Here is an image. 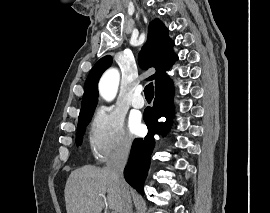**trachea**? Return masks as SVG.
I'll return each instance as SVG.
<instances>
[{
  "label": "trachea",
  "mask_w": 270,
  "mask_h": 213,
  "mask_svg": "<svg viewBox=\"0 0 270 213\" xmlns=\"http://www.w3.org/2000/svg\"><path fill=\"white\" fill-rule=\"evenodd\" d=\"M145 98L152 100L154 97V87L152 83H149L144 89Z\"/></svg>",
  "instance_id": "obj_1"
}]
</instances>
